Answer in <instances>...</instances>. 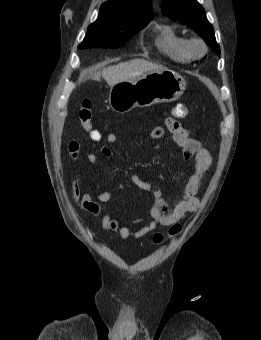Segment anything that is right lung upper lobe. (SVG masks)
I'll list each match as a JSON object with an SVG mask.
<instances>
[{
	"label": "right lung upper lobe",
	"mask_w": 261,
	"mask_h": 340,
	"mask_svg": "<svg viewBox=\"0 0 261 340\" xmlns=\"http://www.w3.org/2000/svg\"><path fill=\"white\" fill-rule=\"evenodd\" d=\"M151 0H108L100 8L99 17L105 20H151Z\"/></svg>",
	"instance_id": "obj_1"
}]
</instances>
